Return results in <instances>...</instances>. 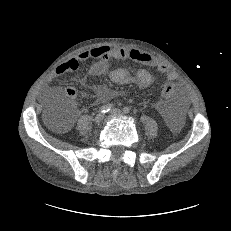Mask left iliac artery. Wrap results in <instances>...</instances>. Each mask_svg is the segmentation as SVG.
I'll return each instance as SVG.
<instances>
[{"mask_svg":"<svg viewBox=\"0 0 231 231\" xmlns=\"http://www.w3.org/2000/svg\"><path fill=\"white\" fill-rule=\"evenodd\" d=\"M123 112L126 113V114H128V113L130 112V108L127 107V106L124 107V108H123Z\"/></svg>","mask_w":231,"mask_h":231,"instance_id":"1","label":"left iliac artery"}]
</instances>
